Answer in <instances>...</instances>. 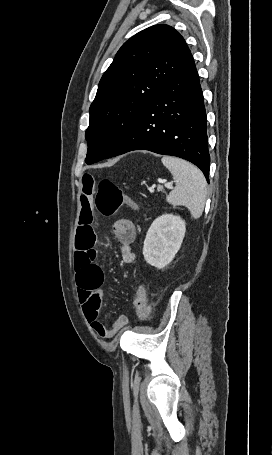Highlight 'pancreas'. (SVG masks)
Instances as JSON below:
<instances>
[{
  "label": "pancreas",
  "mask_w": 272,
  "mask_h": 455,
  "mask_svg": "<svg viewBox=\"0 0 272 455\" xmlns=\"http://www.w3.org/2000/svg\"><path fill=\"white\" fill-rule=\"evenodd\" d=\"M157 190H158V191H161V190H162V186L159 185V186L157 187Z\"/></svg>",
  "instance_id": "obj_1"
}]
</instances>
